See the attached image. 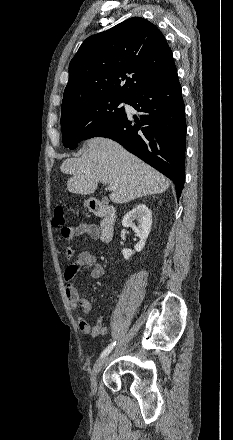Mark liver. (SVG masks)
Masks as SVG:
<instances>
[{
    "label": "liver",
    "instance_id": "6515ba94",
    "mask_svg": "<svg viewBox=\"0 0 233 440\" xmlns=\"http://www.w3.org/2000/svg\"><path fill=\"white\" fill-rule=\"evenodd\" d=\"M60 170L72 175L67 181V189L72 193L90 195L97 189L98 182L116 186L109 195L116 204L162 193L170 185L169 179L160 172L117 142L102 137L88 140L81 157L66 159Z\"/></svg>",
    "mask_w": 233,
    "mask_h": 440
}]
</instances>
